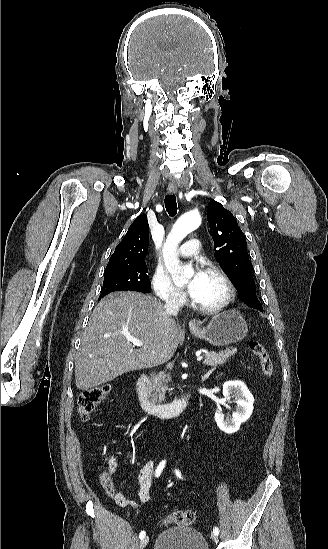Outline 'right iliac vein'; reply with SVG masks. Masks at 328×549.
Listing matches in <instances>:
<instances>
[{
  "label": "right iliac vein",
  "instance_id": "obj_1",
  "mask_svg": "<svg viewBox=\"0 0 328 549\" xmlns=\"http://www.w3.org/2000/svg\"><path fill=\"white\" fill-rule=\"evenodd\" d=\"M148 542H149V537L148 536H145L144 538H142L141 541H140V544H139L140 549H144L146 547V545L148 544Z\"/></svg>",
  "mask_w": 328,
  "mask_h": 549
}]
</instances>
